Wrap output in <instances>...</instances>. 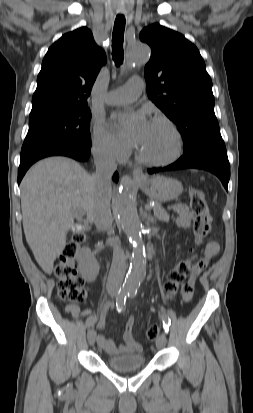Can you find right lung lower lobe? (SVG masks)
Listing matches in <instances>:
<instances>
[{"label": "right lung lower lobe", "mask_w": 253, "mask_h": 413, "mask_svg": "<svg viewBox=\"0 0 253 413\" xmlns=\"http://www.w3.org/2000/svg\"><path fill=\"white\" fill-rule=\"evenodd\" d=\"M55 155L68 156L78 161H87L90 156V147L77 145H60L21 154L20 166L18 170V184L21 182L24 174L33 163L42 158ZM118 178L119 176L116 172L113 176V180L118 181Z\"/></svg>", "instance_id": "1"}]
</instances>
